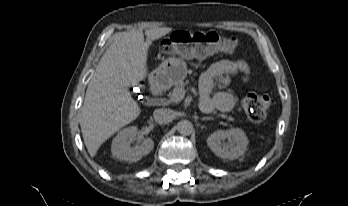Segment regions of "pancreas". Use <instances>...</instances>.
<instances>
[{
    "mask_svg": "<svg viewBox=\"0 0 348 206\" xmlns=\"http://www.w3.org/2000/svg\"><path fill=\"white\" fill-rule=\"evenodd\" d=\"M188 83H189L188 81H186V82H183V81H182V82L176 84L175 87L173 88L172 93L170 94V97H171V95H172L173 93H175V92L185 91V86H186ZM170 102H171V101L168 100V103H170ZM218 116L221 117V118H223V119H227L228 121H233V120H234V118H232L231 116H227V115H225V114H219Z\"/></svg>",
    "mask_w": 348,
    "mask_h": 206,
    "instance_id": "obj_1",
    "label": "pancreas"
}]
</instances>
